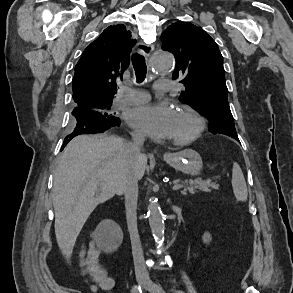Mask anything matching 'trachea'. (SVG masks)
<instances>
[{"instance_id": "trachea-1", "label": "trachea", "mask_w": 293, "mask_h": 293, "mask_svg": "<svg viewBox=\"0 0 293 293\" xmlns=\"http://www.w3.org/2000/svg\"><path fill=\"white\" fill-rule=\"evenodd\" d=\"M132 64L135 71L137 83H142L147 73L145 58L142 55L135 53L132 56Z\"/></svg>"}]
</instances>
